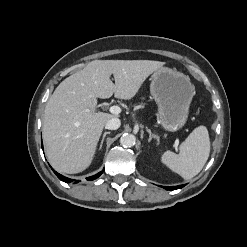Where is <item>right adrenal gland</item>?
I'll return each mask as SVG.
<instances>
[{
    "label": "right adrenal gland",
    "instance_id": "right-adrenal-gland-1",
    "mask_svg": "<svg viewBox=\"0 0 247 247\" xmlns=\"http://www.w3.org/2000/svg\"><path fill=\"white\" fill-rule=\"evenodd\" d=\"M107 134H110V132H104L103 137H102V140H101V143H100L99 150H101V149H102L103 142H104V139H105V137H106V135H107Z\"/></svg>",
    "mask_w": 247,
    "mask_h": 247
}]
</instances>
